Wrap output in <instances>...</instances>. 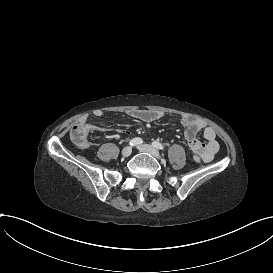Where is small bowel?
<instances>
[{
  "instance_id": "small-bowel-1",
  "label": "small bowel",
  "mask_w": 273,
  "mask_h": 273,
  "mask_svg": "<svg viewBox=\"0 0 273 273\" xmlns=\"http://www.w3.org/2000/svg\"><path fill=\"white\" fill-rule=\"evenodd\" d=\"M104 115V112L100 109H96L93 111V116L96 118H101ZM128 115L136 120L140 121H156L162 119L165 114L162 111L158 110H150V109H136L131 110ZM88 116V115H83ZM89 117V116H88ZM181 124L184 128V139L185 141L190 137H198L201 135L203 140H205L208 144V149L203 154H197L202 158L204 162H211L216 153L219 150V144L216 139L215 130L208 126L204 121L191 116V115H181L180 116ZM102 128L98 125L92 124L89 133L94 130H101ZM89 135V134H88Z\"/></svg>"
}]
</instances>
